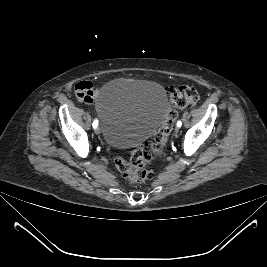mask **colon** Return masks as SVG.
<instances>
[{
  "label": "colon",
  "mask_w": 267,
  "mask_h": 267,
  "mask_svg": "<svg viewBox=\"0 0 267 267\" xmlns=\"http://www.w3.org/2000/svg\"><path fill=\"white\" fill-rule=\"evenodd\" d=\"M169 99L172 107L152 135L151 142L133 149L129 160L122 156L115 157V166L126 181L140 183L152 177L150 166L166 149L173 123L177 118L175 108L195 106L199 103L200 96L195 87L182 85L169 89Z\"/></svg>",
  "instance_id": "obj_1"
}]
</instances>
